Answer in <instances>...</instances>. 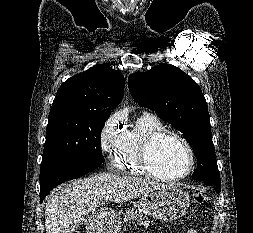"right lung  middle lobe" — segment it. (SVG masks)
<instances>
[{
    "mask_svg": "<svg viewBox=\"0 0 253 233\" xmlns=\"http://www.w3.org/2000/svg\"><path fill=\"white\" fill-rule=\"evenodd\" d=\"M109 116L79 108H51L41 168L59 161L105 162L100 138Z\"/></svg>",
    "mask_w": 253,
    "mask_h": 233,
    "instance_id": "right-lung-middle-lobe-1",
    "label": "right lung middle lobe"
}]
</instances>
